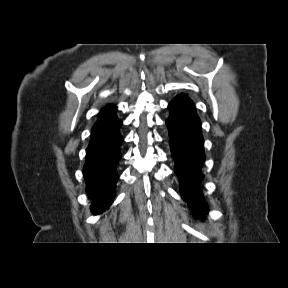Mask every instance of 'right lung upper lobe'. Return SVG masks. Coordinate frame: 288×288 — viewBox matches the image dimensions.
Segmentation results:
<instances>
[{
    "mask_svg": "<svg viewBox=\"0 0 288 288\" xmlns=\"http://www.w3.org/2000/svg\"><path fill=\"white\" fill-rule=\"evenodd\" d=\"M116 107L111 104L103 108L98 114V121L94 124L90 143H97L113 135L121 125L116 116Z\"/></svg>",
    "mask_w": 288,
    "mask_h": 288,
    "instance_id": "cb5924a9",
    "label": "right lung upper lobe"
}]
</instances>
